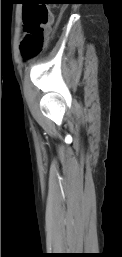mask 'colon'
<instances>
[{
  "instance_id": "5ec220e1",
  "label": "colon",
  "mask_w": 122,
  "mask_h": 257,
  "mask_svg": "<svg viewBox=\"0 0 122 257\" xmlns=\"http://www.w3.org/2000/svg\"><path fill=\"white\" fill-rule=\"evenodd\" d=\"M24 37L21 48L26 56L40 52L48 39L52 15L45 5H23Z\"/></svg>"
}]
</instances>
